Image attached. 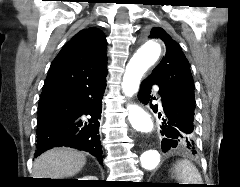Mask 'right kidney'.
I'll return each instance as SVG.
<instances>
[{"mask_svg":"<svg viewBox=\"0 0 240 187\" xmlns=\"http://www.w3.org/2000/svg\"><path fill=\"white\" fill-rule=\"evenodd\" d=\"M79 180H97L95 176H85L84 178H79Z\"/></svg>","mask_w":240,"mask_h":187,"instance_id":"1","label":"right kidney"}]
</instances>
